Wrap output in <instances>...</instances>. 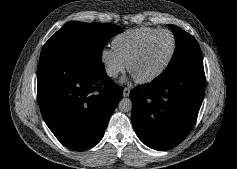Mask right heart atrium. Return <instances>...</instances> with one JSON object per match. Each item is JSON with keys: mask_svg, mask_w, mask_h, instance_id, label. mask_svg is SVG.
<instances>
[{"mask_svg": "<svg viewBox=\"0 0 237 169\" xmlns=\"http://www.w3.org/2000/svg\"><path fill=\"white\" fill-rule=\"evenodd\" d=\"M101 60L106 73L116 78L125 70V61L115 52L113 48H105L101 51Z\"/></svg>", "mask_w": 237, "mask_h": 169, "instance_id": "d8ad5b80", "label": "right heart atrium"}]
</instances>
